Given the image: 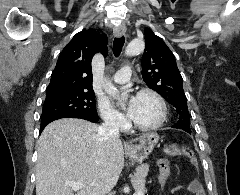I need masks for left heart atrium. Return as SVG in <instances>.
Listing matches in <instances>:
<instances>
[{
  "label": "left heart atrium",
  "mask_w": 240,
  "mask_h": 195,
  "mask_svg": "<svg viewBox=\"0 0 240 195\" xmlns=\"http://www.w3.org/2000/svg\"><path fill=\"white\" fill-rule=\"evenodd\" d=\"M135 102H136V97L135 96L130 97V99L128 101V106H127V111H128L129 115H131L133 112Z\"/></svg>",
  "instance_id": "left-heart-atrium-1"
}]
</instances>
